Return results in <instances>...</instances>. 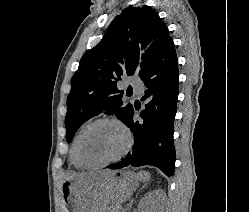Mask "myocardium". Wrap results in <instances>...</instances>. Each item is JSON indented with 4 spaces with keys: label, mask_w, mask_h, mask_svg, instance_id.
<instances>
[{
    "label": "myocardium",
    "mask_w": 249,
    "mask_h": 212,
    "mask_svg": "<svg viewBox=\"0 0 249 212\" xmlns=\"http://www.w3.org/2000/svg\"><path fill=\"white\" fill-rule=\"evenodd\" d=\"M100 124H113V125L117 126L124 135L125 144H124V147L121 150V152L116 157L111 158V159L104 161V162L90 164V163L85 162L81 158L80 152H79V146H80V142L83 139V137L85 136V134L89 130H91L93 127L100 125ZM132 144H133V136H132L131 130L122 120L115 118V117H101V118H98V119L90 122L80 131V133L78 134V136L75 140V144H74V156H75L77 163L83 168H88V169L104 168V167L113 165V164L119 162L121 159H123L129 153V151L132 147Z\"/></svg>",
    "instance_id": "myocardium-1"
}]
</instances>
